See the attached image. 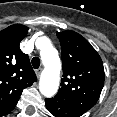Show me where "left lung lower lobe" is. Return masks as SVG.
<instances>
[{"mask_svg":"<svg viewBox=\"0 0 117 117\" xmlns=\"http://www.w3.org/2000/svg\"><path fill=\"white\" fill-rule=\"evenodd\" d=\"M47 110L55 117H80L85 112L57 97L45 99Z\"/></svg>","mask_w":117,"mask_h":117,"instance_id":"1","label":"left lung lower lobe"}]
</instances>
